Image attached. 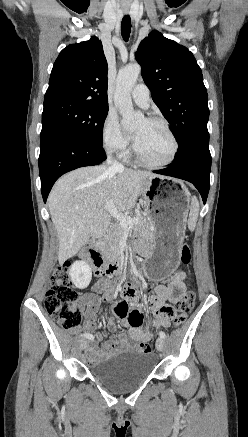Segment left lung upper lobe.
I'll return each mask as SVG.
<instances>
[{
  "instance_id": "left-lung-upper-lobe-1",
  "label": "left lung upper lobe",
  "mask_w": 248,
  "mask_h": 437,
  "mask_svg": "<svg viewBox=\"0 0 248 437\" xmlns=\"http://www.w3.org/2000/svg\"><path fill=\"white\" fill-rule=\"evenodd\" d=\"M152 98L170 123L184 151L199 134L208 133V96L193 54L184 46L154 30L135 53Z\"/></svg>"
}]
</instances>
